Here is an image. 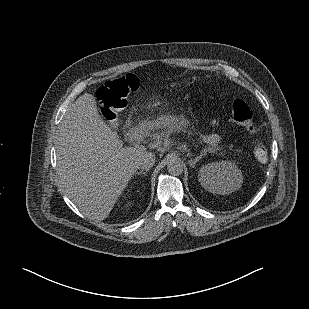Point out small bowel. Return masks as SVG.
I'll list each match as a JSON object with an SVG mask.
<instances>
[{"label": "small bowel", "instance_id": "obj_1", "mask_svg": "<svg viewBox=\"0 0 309 309\" xmlns=\"http://www.w3.org/2000/svg\"><path fill=\"white\" fill-rule=\"evenodd\" d=\"M202 140L209 145H216L220 141V136L215 133L207 134L202 137Z\"/></svg>", "mask_w": 309, "mask_h": 309}]
</instances>
